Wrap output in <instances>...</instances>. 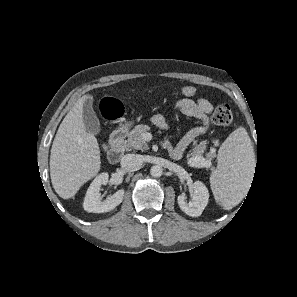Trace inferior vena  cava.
<instances>
[{
  "label": "inferior vena cava",
  "mask_w": 297,
  "mask_h": 297,
  "mask_svg": "<svg viewBox=\"0 0 297 297\" xmlns=\"http://www.w3.org/2000/svg\"><path fill=\"white\" fill-rule=\"evenodd\" d=\"M142 164V156L139 154H126L121 158V166L124 169H137Z\"/></svg>",
  "instance_id": "obj_1"
}]
</instances>
